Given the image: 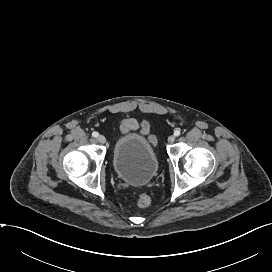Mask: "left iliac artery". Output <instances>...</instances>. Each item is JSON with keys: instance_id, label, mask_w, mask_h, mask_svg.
Listing matches in <instances>:
<instances>
[{"instance_id": "obj_1", "label": "left iliac artery", "mask_w": 272, "mask_h": 272, "mask_svg": "<svg viewBox=\"0 0 272 272\" xmlns=\"http://www.w3.org/2000/svg\"><path fill=\"white\" fill-rule=\"evenodd\" d=\"M174 135H175V136H179V135H180V130L176 129V130L174 131Z\"/></svg>"}]
</instances>
